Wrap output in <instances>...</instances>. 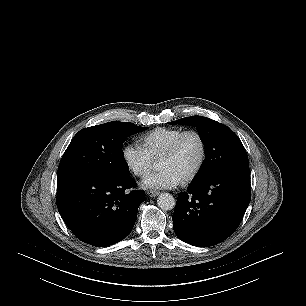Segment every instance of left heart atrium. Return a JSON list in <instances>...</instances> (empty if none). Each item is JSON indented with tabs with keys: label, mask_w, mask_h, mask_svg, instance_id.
Masks as SVG:
<instances>
[{
	"label": "left heart atrium",
	"mask_w": 306,
	"mask_h": 306,
	"mask_svg": "<svg viewBox=\"0 0 306 306\" xmlns=\"http://www.w3.org/2000/svg\"><path fill=\"white\" fill-rule=\"evenodd\" d=\"M182 179L170 169H161L160 171L147 177L142 186L152 189H169L179 185Z\"/></svg>",
	"instance_id": "1"
}]
</instances>
